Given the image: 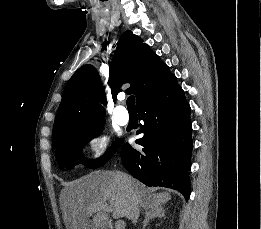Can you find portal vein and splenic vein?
Here are the masks:
<instances>
[{
	"label": "portal vein and splenic vein",
	"mask_w": 261,
	"mask_h": 229,
	"mask_svg": "<svg viewBox=\"0 0 261 229\" xmlns=\"http://www.w3.org/2000/svg\"><path fill=\"white\" fill-rule=\"evenodd\" d=\"M116 229H125V223H124V221H117V223H116Z\"/></svg>",
	"instance_id": "1"
}]
</instances>
